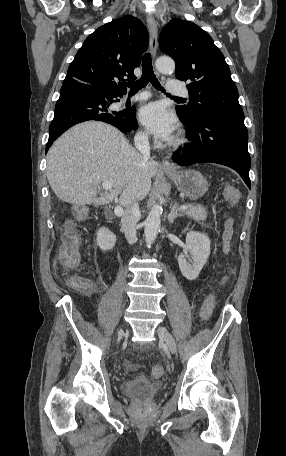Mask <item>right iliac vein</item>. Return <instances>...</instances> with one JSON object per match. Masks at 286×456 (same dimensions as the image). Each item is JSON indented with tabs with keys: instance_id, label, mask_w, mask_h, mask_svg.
Instances as JSON below:
<instances>
[{
	"instance_id": "obj_1",
	"label": "right iliac vein",
	"mask_w": 286,
	"mask_h": 456,
	"mask_svg": "<svg viewBox=\"0 0 286 456\" xmlns=\"http://www.w3.org/2000/svg\"><path fill=\"white\" fill-rule=\"evenodd\" d=\"M124 333L123 329L119 331V334L122 335Z\"/></svg>"
}]
</instances>
